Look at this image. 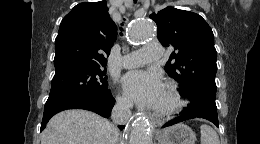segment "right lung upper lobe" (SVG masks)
<instances>
[{
	"label": "right lung upper lobe",
	"mask_w": 260,
	"mask_h": 144,
	"mask_svg": "<svg viewBox=\"0 0 260 144\" xmlns=\"http://www.w3.org/2000/svg\"><path fill=\"white\" fill-rule=\"evenodd\" d=\"M117 37L105 0L76 5L62 20L55 39V69L69 65H107Z\"/></svg>",
	"instance_id": "cb5924a9"
}]
</instances>
